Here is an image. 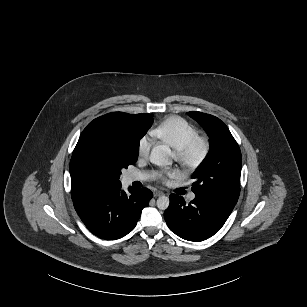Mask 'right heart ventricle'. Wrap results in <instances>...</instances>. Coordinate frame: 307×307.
Segmentation results:
<instances>
[{
	"mask_svg": "<svg viewBox=\"0 0 307 307\" xmlns=\"http://www.w3.org/2000/svg\"><path fill=\"white\" fill-rule=\"evenodd\" d=\"M148 133L155 145L164 143L173 150L184 147L197 137L196 131L187 122L175 116L167 117L153 125Z\"/></svg>",
	"mask_w": 307,
	"mask_h": 307,
	"instance_id": "e07e8e85",
	"label": "right heart ventricle"
}]
</instances>
